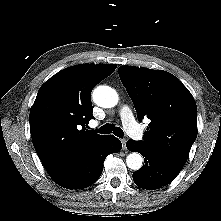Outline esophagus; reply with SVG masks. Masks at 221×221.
Masks as SVG:
<instances>
[{"label":"esophagus","instance_id":"1","mask_svg":"<svg viewBox=\"0 0 221 221\" xmlns=\"http://www.w3.org/2000/svg\"><path fill=\"white\" fill-rule=\"evenodd\" d=\"M126 139H121V143H122V145H123V150H126L127 148H126Z\"/></svg>","mask_w":221,"mask_h":221}]
</instances>
